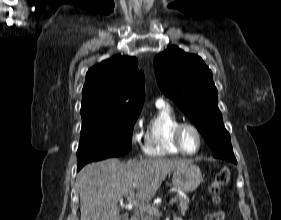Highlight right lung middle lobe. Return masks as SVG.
Listing matches in <instances>:
<instances>
[{"mask_svg":"<svg viewBox=\"0 0 281 220\" xmlns=\"http://www.w3.org/2000/svg\"><path fill=\"white\" fill-rule=\"evenodd\" d=\"M137 115L82 119L78 166L118 157L131 151V137Z\"/></svg>","mask_w":281,"mask_h":220,"instance_id":"1","label":"right lung middle lobe"}]
</instances>
